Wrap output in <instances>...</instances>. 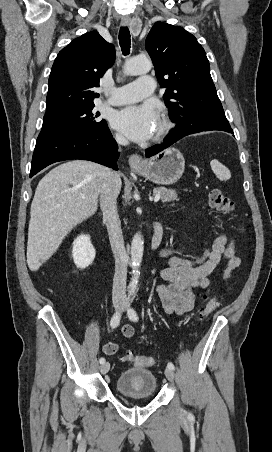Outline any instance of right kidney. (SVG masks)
<instances>
[{
	"instance_id": "obj_1",
	"label": "right kidney",
	"mask_w": 272,
	"mask_h": 452,
	"mask_svg": "<svg viewBox=\"0 0 272 452\" xmlns=\"http://www.w3.org/2000/svg\"><path fill=\"white\" fill-rule=\"evenodd\" d=\"M95 254L89 235H80L74 240L72 256L78 268L88 267L93 262Z\"/></svg>"
}]
</instances>
